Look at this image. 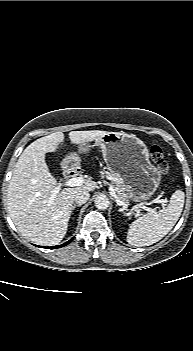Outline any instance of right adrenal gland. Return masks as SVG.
Returning a JSON list of instances; mask_svg holds the SVG:
<instances>
[{
	"instance_id": "2a0ac1e0",
	"label": "right adrenal gland",
	"mask_w": 193,
	"mask_h": 351,
	"mask_svg": "<svg viewBox=\"0 0 193 351\" xmlns=\"http://www.w3.org/2000/svg\"><path fill=\"white\" fill-rule=\"evenodd\" d=\"M81 205L80 204H75L72 206V209L71 210H74L76 207H80Z\"/></svg>"
}]
</instances>
